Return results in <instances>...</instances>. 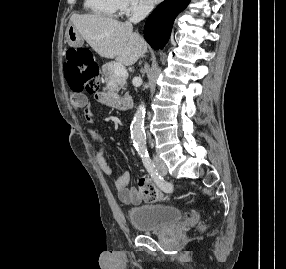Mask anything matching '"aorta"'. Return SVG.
Instances as JSON below:
<instances>
[{
  "mask_svg": "<svg viewBox=\"0 0 286 269\" xmlns=\"http://www.w3.org/2000/svg\"><path fill=\"white\" fill-rule=\"evenodd\" d=\"M144 119H145V104L141 103L136 113L133 117V121L131 123V139L133 144L137 150V152L141 156L147 155V148H146V136L144 131Z\"/></svg>",
  "mask_w": 286,
  "mask_h": 269,
  "instance_id": "obj_1",
  "label": "aorta"
}]
</instances>
